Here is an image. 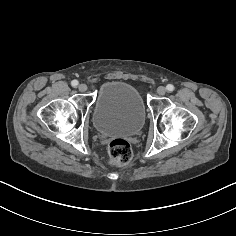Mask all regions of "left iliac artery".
Segmentation results:
<instances>
[{
    "instance_id": "left-iliac-artery-1",
    "label": "left iliac artery",
    "mask_w": 236,
    "mask_h": 236,
    "mask_svg": "<svg viewBox=\"0 0 236 236\" xmlns=\"http://www.w3.org/2000/svg\"><path fill=\"white\" fill-rule=\"evenodd\" d=\"M166 90H167L168 92H172V91L174 90V86H173L172 84H168V85L166 86Z\"/></svg>"
}]
</instances>
